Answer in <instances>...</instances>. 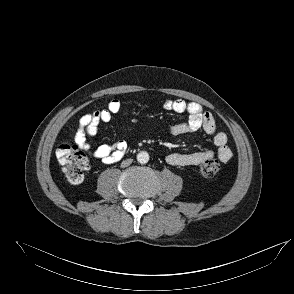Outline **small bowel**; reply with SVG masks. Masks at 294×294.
Listing matches in <instances>:
<instances>
[{
	"mask_svg": "<svg viewBox=\"0 0 294 294\" xmlns=\"http://www.w3.org/2000/svg\"><path fill=\"white\" fill-rule=\"evenodd\" d=\"M121 102L111 100L108 106L101 110L83 115L79 121V128L75 135L77 147L88 157L98 159L104 164H113L120 161L127 150V143L123 140L113 146L101 145L93 148L88 137L94 136L100 124L107 123L112 116L121 110ZM163 108L176 113H186L187 119L183 122L170 124L168 131L172 135L195 133L201 129L213 139L216 150H205L193 153H170L166 162L173 166H197L207 158L217 157L222 162H227L232 157V151L227 146V135L216 130L215 120L211 113L204 111L202 106L195 102H186L182 99H168L163 103Z\"/></svg>",
	"mask_w": 294,
	"mask_h": 294,
	"instance_id": "obj_1",
	"label": "small bowel"
}]
</instances>
